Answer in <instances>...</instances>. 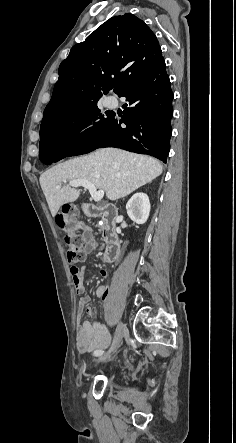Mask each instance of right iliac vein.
I'll return each mask as SVG.
<instances>
[{
  "label": "right iliac vein",
  "mask_w": 236,
  "mask_h": 443,
  "mask_svg": "<svg viewBox=\"0 0 236 443\" xmlns=\"http://www.w3.org/2000/svg\"><path fill=\"white\" fill-rule=\"evenodd\" d=\"M124 332L125 325L123 323H119L116 328L110 349L104 355L100 356L97 362L105 361L110 357L111 353L119 346L120 342L122 341Z\"/></svg>",
  "instance_id": "obj_1"
}]
</instances>
